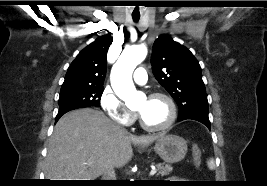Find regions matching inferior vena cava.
Wrapping results in <instances>:
<instances>
[{"label":"inferior vena cava","mask_w":267,"mask_h":186,"mask_svg":"<svg viewBox=\"0 0 267 186\" xmlns=\"http://www.w3.org/2000/svg\"><path fill=\"white\" fill-rule=\"evenodd\" d=\"M122 130H125L124 128H121ZM103 180H115V171L113 167H110L104 174H103Z\"/></svg>","instance_id":"1"}]
</instances>
